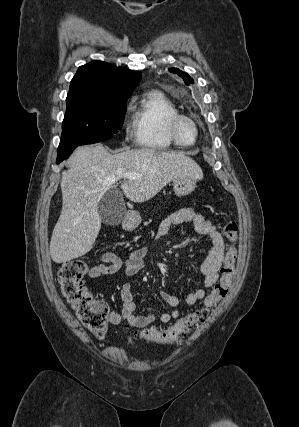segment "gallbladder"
<instances>
[{"label": "gallbladder", "mask_w": 299, "mask_h": 427, "mask_svg": "<svg viewBox=\"0 0 299 427\" xmlns=\"http://www.w3.org/2000/svg\"><path fill=\"white\" fill-rule=\"evenodd\" d=\"M101 221L110 226L119 225L126 216V206L122 193L117 189L108 190L98 204Z\"/></svg>", "instance_id": "1"}]
</instances>
